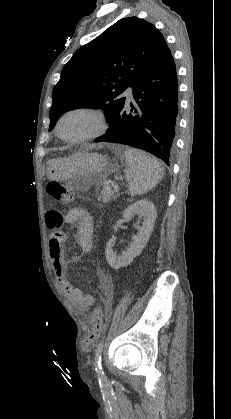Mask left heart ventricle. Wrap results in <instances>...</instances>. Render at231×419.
Wrapping results in <instances>:
<instances>
[{"instance_id": "left-heart-ventricle-1", "label": "left heart ventricle", "mask_w": 231, "mask_h": 419, "mask_svg": "<svg viewBox=\"0 0 231 419\" xmlns=\"http://www.w3.org/2000/svg\"><path fill=\"white\" fill-rule=\"evenodd\" d=\"M96 127L97 122L91 115L73 113L64 118L60 132L66 138H76L90 134Z\"/></svg>"}]
</instances>
